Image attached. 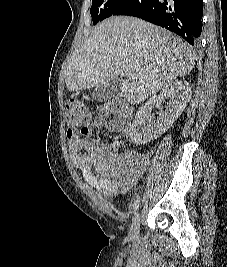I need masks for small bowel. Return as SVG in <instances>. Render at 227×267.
Here are the masks:
<instances>
[{
    "label": "small bowel",
    "mask_w": 227,
    "mask_h": 267,
    "mask_svg": "<svg viewBox=\"0 0 227 267\" xmlns=\"http://www.w3.org/2000/svg\"><path fill=\"white\" fill-rule=\"evenodd\" d=\"M94 129L116 130L117 127L107 126L102 119L96 118L91 123L81 125L78 131L74 127L67 129L72 162L80 170L85 182L101 194L109 195L115 186L125 188L139 180L145 169V158L133 157L111 169L103 151L88 139ZM118 144L119 142L116 143Z\"/></svg>",
    "instance_id": "c3829d8e"
}]
</instances>
